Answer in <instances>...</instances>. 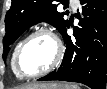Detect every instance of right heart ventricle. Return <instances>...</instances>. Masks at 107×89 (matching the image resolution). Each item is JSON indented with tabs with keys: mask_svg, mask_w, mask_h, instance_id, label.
I'll list each match as a JSON object with an SVG mask.
<instances>
[{
	"mask_svg": "<svg viewBox=\"0 0 107 89\" xmlns=\"http://www.w3.org/2000/svg\"><path fill=\"white\" fill-rule=\"evenodd\" d=\"M20 44V42L15 46L14 50H13V53H12V58H11V66H12V70L14 72V74L18 77V78H21L18 73L16 72L15 68H14V57H15V53H16V50H17V47L18 45Z\"/></svg>",
	"mask_w": 107,
	"mask_h": 89,
	"instance_id": "1",
	"label": "right heart ventricle"
}]
</instances>
